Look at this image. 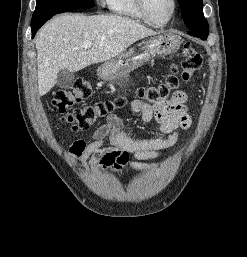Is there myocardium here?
<instances>
[{
	"label": "myocardium",
	"instance_id": "obj_1",
	"mask_svg": "<svg viewBox=\"0 0 247 257\" xmlns=\"http://www.w3.org/2000/svg\"><path fill=\"white\" fill-rule=\"evenodd\" d=\"M136 2H137L138 9L142 14L145 22L154 27H164L168 25L174 18L177 11V1L171 0L173 8L170 16L163 22H157L149 14L148 7H147V0H136Z\"/></svg>",
	"mask_w": 247,
	"mask_h": 257
}]
</instances>
